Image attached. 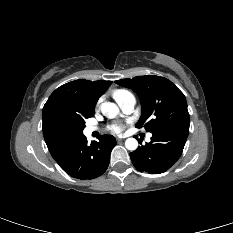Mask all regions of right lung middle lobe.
Here are the masks:
<instances>
[{
  "label": "right lung middle lobe",
  "instance_id": "obj_1",
  "mask_svg": "<svg viewBox=\"0 0 233 233\" xmlns=\"http://www.w3.org/2000/svg\"><path fill=\"white\" fill-rule=\"evenodd\" d=\"M93 116V115H92ZM92 116H90V117H92ZM87 118H89V117H87ZM86 118V119H87ZM85 120V119H84ZM83 119H81V120H79L78 121V123H77V126H76V128H77V131L82 135L83 134V129L85 128V121H84Z\"/></svg>",
  "mask_w": 233,
  "mask_h": 233
}]
</instances>
